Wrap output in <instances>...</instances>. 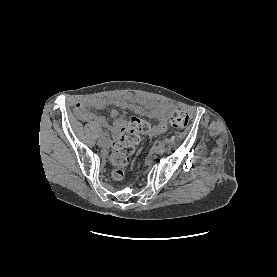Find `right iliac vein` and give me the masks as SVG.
Wrapping results in <instances>:
<instances>
[{"instance_id":"63e3f726","label":"right iliac vein","mask_w":277,"mask_h":277,"mask_svg":"<svg viewBox=\"0 0 277 277\" xmlns=\"http://www.w3.org/2000/svg\"><path fill=\"white\" fill-rule=\"evenodd\" d=\"M97 144L99 147H106L108 145V140L107 138H99Z\"/></svg>"}]
</instances>
